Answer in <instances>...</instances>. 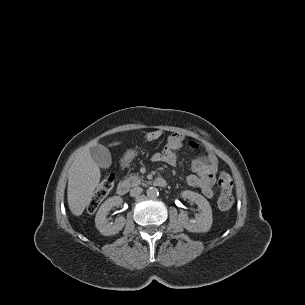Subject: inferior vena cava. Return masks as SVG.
<instances>
[{"instance_id": "obj_1", "label": "inferior vena cava", "mask_w": 305, "mask_h": 305, "mask_svg": "<svg viewBox=\"0 0 305 305\" xmlns=\"http://www.w3.org/2000/svg\"><path fill=\"white\" fill-rule=\"evenodd\" d=\"M143 189L141 187H134L130 190V196L136 197L142 193Z\"/></svg>"}]
</instances>
